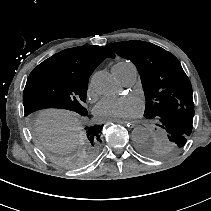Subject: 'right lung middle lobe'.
Segmentation results:
<instances>
[{"mask_svg":"<svg viewBox=\"0 0 211 211\" xmlns=\"http://www.w3.org/2000/svg\"><path fill=\"white\" fill-rule=\"evenodd\" d=\"M88 79L72 73L35 68L30 73L24 89L25 116H28L41 149L51 161L65 168L87 165L97 157L103 125H90L84 128L87 146L82 154L65 155L50 145L44 130L48 119L41 110L60 108L86 116L87 110L82 103L86 101Z\"/></svg>","mask_w":211,"mask_h":211,"instance_id":"dd1d6c3e","label":"right lung middle lobe"}]
</instances>
